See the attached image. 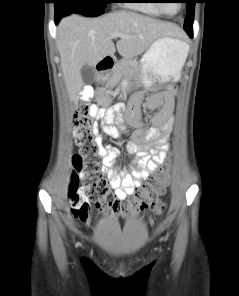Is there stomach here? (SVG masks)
<instances>
[{"mask_svg": "<svg viewBox=\"0 0 239 296\" xmlns=\"http://www.w3.org/2000/svg\"><path fill=\"white\" fill-rule=\"evenodd\" d=\"M188 44L173 36L156 39L143 54L139 71L149 83L177 81L186 61ZM156 85H134V90H156ZM122 101H136V96H122Z\"/></svg>", "mask_w": 239, "mask_h": 296, "instance_id": "0dacf381", "label": "stomach"}]
</instances>
